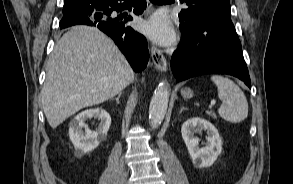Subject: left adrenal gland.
<instances>
[{
    "instance_id": "obj_1",
    "label": "left adrenal gland",
    "mask_w": 293,
    "mask_h": 184,
    "mask_svg": "<svg viewBox=\"0 0 293 184\" xmlns=\"http://www.w3.org/2000/svg\"><path fill=\"white\" fill-rule=\"evenodd\" d=\"M184 110H187L186 107H182L179 113H182Z\"/></svg>"
}]
</instances>
